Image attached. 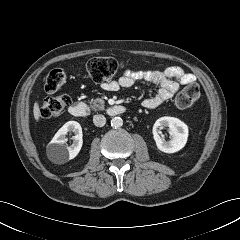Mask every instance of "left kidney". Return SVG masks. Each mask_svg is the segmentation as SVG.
Instances as JSON below:
<instances>
[{"label": "left kidney", "mask_w": 240, "mask_h": 240, "mask_svg": "<svg viewBox=\"0 0 240 240\" xmlns=\"http://www.w3.org/2000/svg\"><path fill=\"white\" fill-rule=\"evenodd\" d=\"M161 127H169L171 139L169 141L163 140L158 130ZM188 126L175 117L164 116L156 120L153 126V137L157 148L165 153H175L181 150L188 139Z\"/></svg>", "instance_id": "left-kidney-1"}]
</instances>
